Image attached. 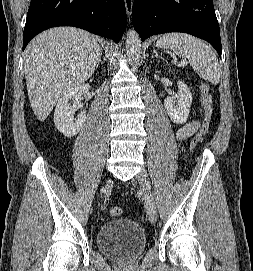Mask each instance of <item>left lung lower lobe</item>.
Here are the masks:
<instances>
[{"label":"left lung lower lobe","mask_w":253,"mask_h":271,"mask_svg":"<svg viewBox=\"0 0 253 271\" xmlns=\"http://www.w3.org/2000/svg\"><path fill=\"white\" fill-rule=\"evenodd\" d=\"M132 22L142 41L155 34L184 32L208 41L221 57L213 0H134Z\"/></svg>","instance_id":"left-lung-lower-lobe-1"}]
</instances>
